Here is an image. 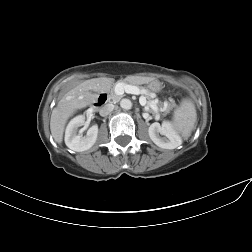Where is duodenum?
<instances>
[{
	"mask_svg": "<svg viewBox=\"0 0 252 252\" xmlns=\"http://www.w3.org/2000/svg\"><path fill=\"white\" fill-rule=\"evenodd\" d=\"M109 101V95L108 93H101L97 100L94 103L95 108H101L103 107L107 102Z\"/></svg>",
	"mask_w": 252,
	"mask_h": 252,
	"instance_id": "duodenum-1",
	"label": "duodenum"
}]
</instances>
